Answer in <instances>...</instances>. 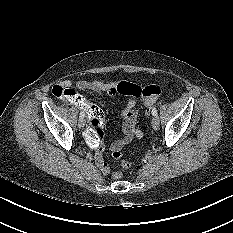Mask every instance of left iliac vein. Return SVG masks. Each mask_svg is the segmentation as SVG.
<instances>
[{
	"mask_svg": "<svg viewBox=\"0 0 233 233\" xmlns=\"http://www.w3.org/2000/svg\"><path fill=\"white\" fill-rule=\"evenodd\" d=\"M152 127L154 130H158L159 129V118L157 116H154L153 119H152Z\"/></svg>",
	"mask_w": 233,
	"mask_h": 233,
	"instance_id": "left-iliac-vein-1",
	"label": "left iliac vein"
}]
</instances>
